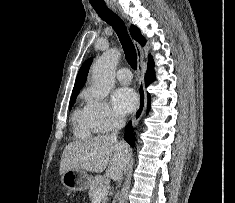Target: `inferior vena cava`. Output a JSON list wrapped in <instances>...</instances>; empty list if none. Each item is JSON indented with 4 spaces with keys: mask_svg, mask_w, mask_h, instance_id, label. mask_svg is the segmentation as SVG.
I'll list each match as a JSON object with an SVG mask.
<instances>
[{
    "mask_svg": "<svg viewBox=\"0 0 235 203\" xmlns=\"http://www.w3.org/2000/svg\"><path fill=\"white\" fill-rule=\"evenodd\" d=\"M125 122H126V119L124 116L117 115L115 117V120H114L115 129H114L113 133L111 134V137L113 139L117 140V134H118L119 130H121L125 126ZM121 180H122V176L120 177V179L118 181L120 182Z\"/></svg>",
    "mask_w": 235,
    "mask_h": 203,
    "instance_id": "inferior-vena-cava-1",
    "label": "inferior vena cava"
}]
</instances>
